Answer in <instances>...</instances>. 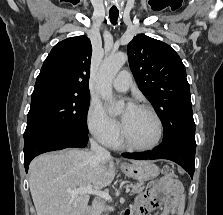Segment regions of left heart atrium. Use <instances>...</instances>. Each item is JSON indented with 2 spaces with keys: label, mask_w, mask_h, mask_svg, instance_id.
Masks as SVG:
<instances>
[{
  "label": "left heart atrium",
  "mask_w": 223,
  "mask_h": 215,
  "mask_svg": "<svg viewBox=\"0 0 223 215\" xmlns=\"http://www.w3.org/2000/svg\"><path fill=\"white\" fill-rule=\"evenodd\" d=\"M135 110V106L133 103H130L126 108V116L131 114Z\"/></svg>",
  "instance_id": "1"
}]
</instances>
